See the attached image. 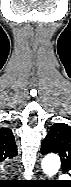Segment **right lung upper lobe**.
<instances>
[{"label": "right lung upper lobe", "mask_w": 71, "mask_h": 187, "mask_svg": "<svg viewBox=\"0 0 71 187\" xmlns=\"http://www.w3.org/2000/svg\"><path fill=\"white\" fill-rule=\"evenodd\" d=\"M17 155V147L12 131L9 128L0 129V157L10 160Z\"/></svg>", "instance_id": "obj_1"}]
</instances>
